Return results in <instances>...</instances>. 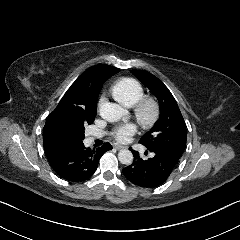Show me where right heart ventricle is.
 <instances>
[{"instance_id":"right-heart-ventricle-1","label":"right heart ventricle","mask_w":240,"mask_h":240,"mask_svg":"<svg viewBox=\"0 0 240 240\" xmlns=\"http://www.w3.org/2000/svg\"><path fill=\"white\" fill-rule=\"evenodd\" d=\"M111 94L122 106L131 108L143 96L142 85L134 79H123L111 88Z\"/></svg>"}]
</instances>
